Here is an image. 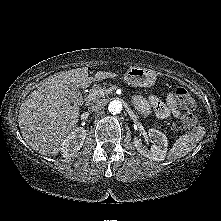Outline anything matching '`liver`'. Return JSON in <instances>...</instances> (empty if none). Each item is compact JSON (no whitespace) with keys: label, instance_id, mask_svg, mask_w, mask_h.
Listing matches in <instances>:
<instances>
[{"label":"liver","instance_id":"liver-1","mask_svg":"<svg viewBox=\"0 0 221 221\" xmlns=\"http://www.w3.org/2000/svg\"><path fill=\"white\" fill-rule=\"evenodd\" d=\"M116 75L98 71L89 77L88 68L83 67L60 72L42 82L20 106L18 124L23 139L42 155H57L79 120L80 108L68 98L70 87L87 88L92 82Z\"/></svg>","mask_w":221,"mask_h":221}]
</instances>
